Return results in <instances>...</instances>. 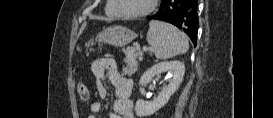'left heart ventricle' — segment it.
Here are the masks:
<instances>
[{"mask_svg": "<svg viewBox=\"0 0 273 118\" xmlns=\"http://www.w3.org/2000/svg\"><path fill=\"white\" fill-rule=\"evenodd\" d=\"M127 13H139L147 9L151 0H120Z\"/></svg>", "mask_w": 273, "mask_h": 118, "instance_id": "b2bd125f", "label": "left heart ventricle"}]
</instances>
